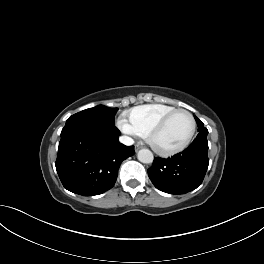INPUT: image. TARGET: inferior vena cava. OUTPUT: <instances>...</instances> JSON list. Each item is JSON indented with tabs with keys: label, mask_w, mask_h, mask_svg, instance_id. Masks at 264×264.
Listing matches in <instances>:
<instances>
[{
	"label": "inferior vena cava",
	"mask_w": 264,
	"mask_h": 264,
	"mask_svg": "<svg viewBox=\"0 0 264 264\" xmlns=\"http://www.w3.org/2000/svg\"><path fill=\"white\" fill-rule=\"evenodd\" d=\"M119 141L122 143V144H124V145H127V146H131V145H133L134 144V140L131 138V137H129V136H121L120 138H119Z\"/></svg>",
	"instance_id": "obj_1"
}]
</instances>
